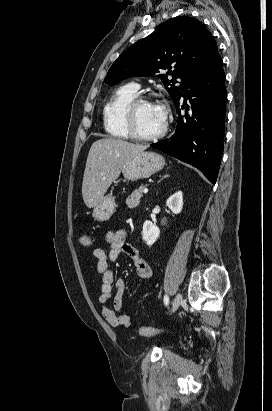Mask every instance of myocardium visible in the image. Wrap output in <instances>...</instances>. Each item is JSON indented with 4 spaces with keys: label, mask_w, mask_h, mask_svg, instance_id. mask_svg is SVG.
Listing matches in <instances>:
<instances>
[{
    "label": "myocardium",
    "mask_w": 272,
    "mask_h": 411,
    "mask_svg": "<svg viewBox=\"0 0 272 411\" xmlns=\"http://www.w3.org/2000/svg\"><path fill=\"white\" fill-rule=\"evenodd\" d=\"M151 103V99L148 96L144 95H137L135 98H133L128 105L125 108V114H124V120H125V126L128 131L129 136L138 141H156L165 136L168 130V118H167V113L166 111L163 110V126L162 128L155 134L153 135H143L139 133L136 129L135 125V116H136V110L139 107L140 104L142 103Z\"/></svg>",
    "instance_id": "obj_1"
}]
</instances>
